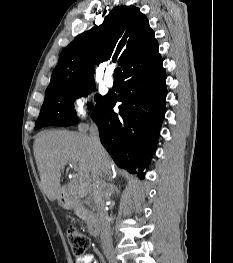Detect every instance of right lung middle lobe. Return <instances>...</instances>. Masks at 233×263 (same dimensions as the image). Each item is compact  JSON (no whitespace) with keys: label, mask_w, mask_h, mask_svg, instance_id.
Instances as JSON below:
<instances>
[{"label":"right lung middle lobe","mask_w":233,"mask_h":263,"mask_svg":"<svg viewBox=\"0 0 233 263\" xmlns=\"http://www.w3.org/2000/svg\"><path fill=\"white\" fill-rule=\"evenodd\" d=\"M92 85L73 90H65L45 97L40 115L35 123V130L50 125L71 126L77 122L73 104L76 98L87 95ZM106 97V96H105ZM105 97L96 95L95 101L100 105Z\"/></svg>","instance_id":"right-lung-middle-lobe-1"}]
</instances>
